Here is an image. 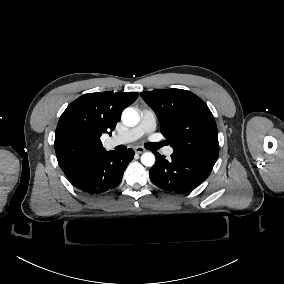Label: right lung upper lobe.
Wrapping results in <instances>:
<instances>
[{
    "label": "right lung upper lobe",
    "mask_w": 284,
    "mask_h": 284,
    "mask_svg": "<svg viewBox=\"0 0 284 284\" xmlns=\"http://www.w3.org/2000/svg\"><path fill=\"white\" fill-rule=\"evenodd\" d=\"M138 96L136 92L89 93L66 108L55 131L54 147L67 177L108 152L102 146L101 135L111 134L122 111Z\"/></svg>",
    "instance_id": "cb5924a9"
}]
</instances>
